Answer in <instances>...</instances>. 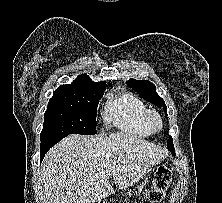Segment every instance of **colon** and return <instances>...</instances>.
Here are the masks:
<instances>
[{"mask_svg": "<svg viewBox=\"0 0 222 203\" xmlns=\"http://www.w3.org/2000/svg\"><path fill=\"white\" fill-rule=\"evenodd\" d=\"M173 167L171 164L161 165L152 180L151 188L147 192L150 203H161L162 198L172 179Z\"/></svg>", "mask_w": 222, "mask_h": 203, "instance_id": "1", "label": "colon"}]
</instances>
